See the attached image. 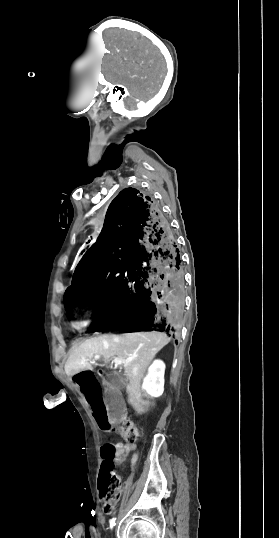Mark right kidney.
<instances>
[{
    "mask_svg": "<svg viewBox=\"0 0 279 538\" xmlns=\"http://www.w3.org/2000/svg\"><path fill=\"white\" fill-rule=\"evenodd\" d=\"M164 372L165 364L161 360H155L150 366L142 386L149 396H153V398L162 396L164 392Z\"/></svg>",
    "mask_w": 279,
    "mask_h": 538,
    "instance_id": "1",
    "label": "right kidney"
}]
</instances>
